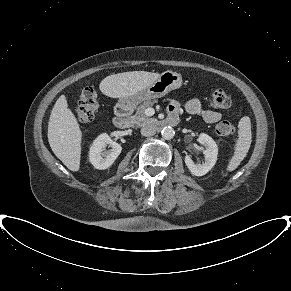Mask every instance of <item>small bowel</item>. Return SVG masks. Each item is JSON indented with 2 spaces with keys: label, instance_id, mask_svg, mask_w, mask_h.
I'll return each instance as SVG.
<instances>
[{
  "label": "small bowel",
  "instance_id": "obj_1",
  "mask_svg": "<svg viewBox=\"0 0 291 291\" xmlns=\"http://www.w3.org/2000/svg\"><path fill=\"white\" fill-rule=\"evenodd\" d=\"M179 110L180 104L176 101L171 102L168 106L170 117H176ZM185 110L191 115H201L210 124L218 122L222 117L220 112L204 108L200 100L196 98L186 102Z\"/></svg>",
  "mask_w": 291,
  "mask_h": 291
}]
</instances>
